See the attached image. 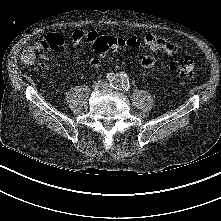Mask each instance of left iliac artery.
<instances>
[{
    "label": "left iliac artery",
    "instance_id": "44dca946",
    "mask_svg": "<svg viewBox=\"0 0 221 221\" xmlns=\"http://www.w3.org/2000/svg\"><path fill=\"white\" fill-rule=\"evenodd\" d=\"M115 83H116L115 88H118V89L124 90V91H128L129 82L126 79L117 80ZM112 87H114V85Z\"/></svg>",
    "mask_w": 221,
    "mask_h": 221
}]
</instances>
